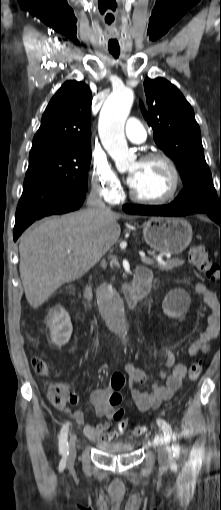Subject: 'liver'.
I'll list each match as a JSON object with an SVG mask.
<instances>
[{
    "label": "liver",
    "mask_w": 221,
    "mask_h": 510,
    "mask_svg": "<svg viewBox=\"0 0 221 510\" xmlns=\"http://www.w3.org/2000/svg\"><path fill=\"white\" fill-rule=\"evenodd\" d=\"M122 215L95 208L36 223L20 237V277L31 307L82 277L117 242ZM69 251V252H68Z\"/></svg>",
    "instance_id": "liver-1"
}]
</instances>
